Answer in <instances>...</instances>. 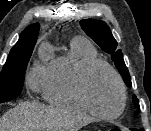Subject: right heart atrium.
<instances>
[{
    "mask_svg": "<svg viewBox=\"0 0 151 131\" xmlns=\"http://www.w3.org/2000/svg\"><path fill=\"white\" fill-rule=\"evenodd\" d=\"M46 70L47 65H44L42 62H36L30 69L27 76V82L32 91H39L42 89Z\"/></svg>",
    "mask_w": 151,
    "mask_h": 131,
    "instance_id": "right-heart-atrium-1",
    "label": "right heart atrium"
}]
</instances>
